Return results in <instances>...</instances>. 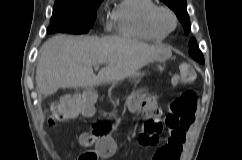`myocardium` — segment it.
Here are the masks:
<instances>
[{
  "label": "myocardium",
  "instance_id": "f54148a6",
  "mask_svg": "<svg viewBox=\"0 0 242 160\" xmlns=\"http://www.w3.org/2000/svg\"><path fill=\"white\" fill-rule=\"evenodd\" d=\"M164 17L169 19V24L164 22ZM150 20L154 27L166 34L174 31L178 23L176 14L167 6H157L151 13Z\"/></svg>",
  "mask_w": 242,
  "mask_h": 160
}]
</instances>
